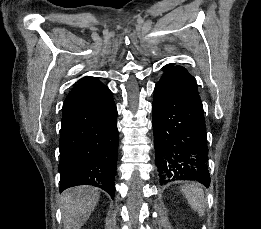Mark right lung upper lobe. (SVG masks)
Returning <instances> with one entry per match:
<instances>
[{
	"mask_svg": "<svg viewBox=\"0 0 261 229\" xmlns=\"http://www.w3.org/2000/svg\"><path fill=\"white\" fill-rule=\"evenodd\" d=\"M92 77H84V78H82L77 84H79V83H81V82H83V81H85V80H88V79H91ZM76 84V85H77Z\"/></svg>",
	"mask_w": 261,
	"mask_h": 229,
	"instance_id": "1",
	"label": "right lung upper lobe"
}]
</instances>
